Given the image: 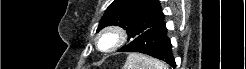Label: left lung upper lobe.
<instances>
[{
  "mask_svg": "<svg viewBox=\"0 0 246 69\" xmlns=\"http://www.w3.org/2000/svg\"><path fill=\"white\" fill-rule=\"evenodd\" d=\"M165 15L158 0H114L103 15L97 32L109 25L127 30L128 39H135L150 28L164 22Z\"/></svg>",
  "mask_w": 246,
  "mask_h": 69,
  "instance_id": "left-lung-upper-lobe-1",
  "label": "left lung upper lobe"
}]
</instances>
